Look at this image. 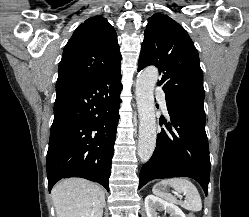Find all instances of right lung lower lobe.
Returning <instances> with one entry per match:
<instances>
[{
    "instance_id": "right-lung-lower-lobe-1",
    "label": "right lung lower lobe",
    "mask_w": 249,
    "mask_h": 217,
    "mask_svg": "<svg viewBox=\"0 0 249 217\" xmlns=\"http://www.w3.org/2000/svg\"><path fill=\"white\" fill-rule=\"evenodd\" d=\"M120 71L95 80L56 83L47 152L49 192L66 177L98 182L109 191L121 103Z\"/></svg>"
}]
</instances>
